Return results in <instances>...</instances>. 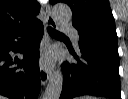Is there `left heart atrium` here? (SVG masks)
I'll return each mask as SVG.
<instances>
[{"label": "left heart atrium", "instance_id": "39dd6f15", "mask_svg": "<svg viewBox=\"0 0 128 99\" xmlns=\"http://www.w3.org/2000/svg\"><path fill=\"white\" fill-rule=\"evenodd\" d=\"M54 56L51 52H47L42 57V64L45 66H50L53 63Z\"/></svg>", "mask_w": 128, "mask_h": 99}]
</instances>
